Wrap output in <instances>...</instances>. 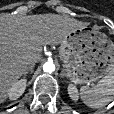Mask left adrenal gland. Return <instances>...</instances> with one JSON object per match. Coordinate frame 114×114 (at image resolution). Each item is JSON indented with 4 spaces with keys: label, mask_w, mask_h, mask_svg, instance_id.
Here are the masks:
<instances>
[{
    "label": "left adrenal gland",
    "mask_w": 114,
    "mask_h": 114,
    "mask_svg": "<svg viewBox=\"0 0 114 114\" xmlns=\"http://www.w3.org/2000/svg\"><path fill=\"white\" fill-rule=\"evenodd\" d=\"M61 77H64L66 74H65V69L63 68L62 71H61Z\"/></svg>",
    "instance_id": "obj_1"
}]
</instances>
